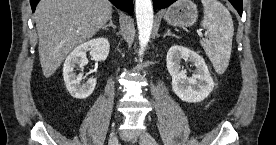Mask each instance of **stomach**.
Masks as SVG:
<instances>
[{"label":"stomach","instance_id":"obj_1","mask_svg":"<svg viewBox=\"0 0 276 145\" xmlns=\"http://www.w3.org/2000/svg\"><path fill=\"white\" fill-rule=\"evenodd\" d=\"M198 16L197 6L191 0H178L164 14L167 23L174 26H191Z\"/></svg>","mask_w":276,"mask_h":145}]
</instances>
